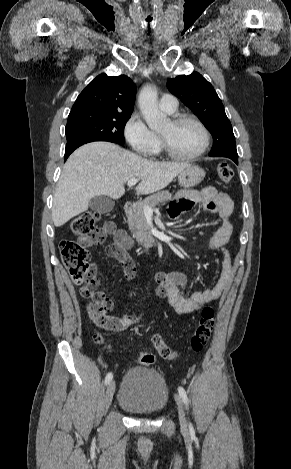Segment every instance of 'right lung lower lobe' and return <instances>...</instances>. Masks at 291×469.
Returning <instances> with one entry per match:
<instances>
[{
    "instance_id": "1",
    "label": "right lung lower lobe",
    "mask_w": 291,
    "mask_h": 469,
    "mask_svg": "<svg viewBox=\"0 0 291 469\" xmlns=\"http://www.w3.org/2000/svg\"><path fill=\"white\" fill-rule=\"evenodd\" d=\"M92 141H107V140H96V139H90V140H76V141H71L67 142L66 144V149H65V160L69 157V155L79 146L92 142Z\"/></svg>"
}]
</instances>
